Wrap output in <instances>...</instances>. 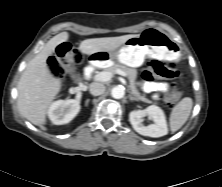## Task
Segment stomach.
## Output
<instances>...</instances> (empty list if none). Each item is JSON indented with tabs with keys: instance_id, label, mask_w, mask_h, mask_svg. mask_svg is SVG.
<instances>
[{
	"instance_id": "obj_1",
	"label": "stomach",
	"mask_w": 222,
	"mask_h": 187,
	"mask_svg": "<svg viewBox=\"0 0 222 187\" xmlns=\"http://www.w3.org/2000/svg\"><path fill=\"white\" fill-rule=\"evenodd\" d=\"M181 55L178 43L169 34L157 28H147L112 52L100 51L91 54L90 63L106 65L112 61L139 67L146 57L176 62L180 60Z\"/></svg>"
}]
</instances>
